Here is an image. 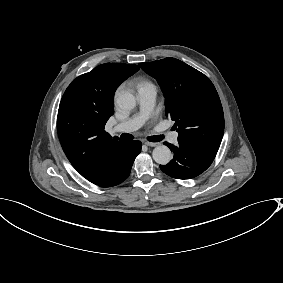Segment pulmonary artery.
Masks as SVG:
<instances>
[{
  "instance_id": "pulmonary-artery-1",
  "label": "pulmonary artery",
  "mask_w": 283,
  "mask_h": 283,
  "mask_svg": "<svg viewBox=\"0 0 283 283\" xmlns=\"http://www.w3.org/2000/svg\"><path fill=\"white\" fill-rule=\"evenodd\" d=\"M157 98V90L153 85L144 86L137 91V100L139 104V111L132 117L116 124L111 128L114 133H129L140 128L144 122L151 116ZM179 133L175 131H168L166 133V140L168 142L177 143Z\"/></svg>"
}]
</instances>
